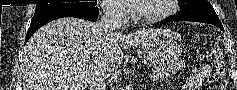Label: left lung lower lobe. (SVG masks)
<instances>
[{"mask_svg":"<svg viewBox=\"0 0 237 90\" xmlns=\"http://www.w3.org/2000/svg\"><path fill=\"white\" fill-rule=\"evenodd\" d=\"M171 21H196V22L209 23V24H213V25L219 27L222 31H224L221 22L218 23V22L199 20V19H194V18L180 16V15L171 16V17L167 18L166 20L162 21L161 23H166V22H171Z\"/></svg>","mask_w":237,"mask_h":90,"instance_id":"obj_1","label":"left lung lower lobe"}]
</instances>
